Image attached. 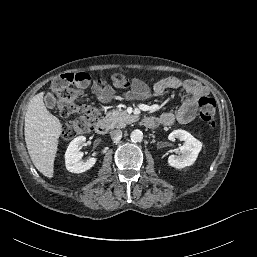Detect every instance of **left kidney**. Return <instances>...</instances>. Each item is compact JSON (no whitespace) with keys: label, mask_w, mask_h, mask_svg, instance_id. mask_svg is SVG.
Wrapping results in <instances>:
<instances>
[{"label":"left kidney","mask_w":257,"mask_h":257,"mask_svg":"<svg viewBox=\"0 0 257 257\" xmlns=\"http://www.w3.org/2000/svg\"><path fill=\"white\" fill-rule=\"evenodd\" d=\"M175 138L184 141L181 146V155H170L168 157V164L171 167L182 169L191 166L196 161L198 154L202 149V143L185 130H174L168 136V139L173 141Z\"/></svg>","instance_id":"left-kidney-1"}]
</instances>
